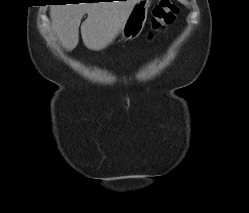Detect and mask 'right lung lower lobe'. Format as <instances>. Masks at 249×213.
<instances>
[{
    "mask_svg": "<svg viewBox=\"0 0 249 213\" xmlns=\"http://www.w3.org/2000/svg\"><path fill=\"white\" fill-rule=\"evenodd\" d=\"M90 1H97V0H90ZM59 3H61V2H59ZM93 3V2H92Z\"/></svg>",
    "mask_w": 249,
    "mask_h": 213,
    "instance_id": "1",
    "label": "right lung lower lobe"
}]
</instances>
